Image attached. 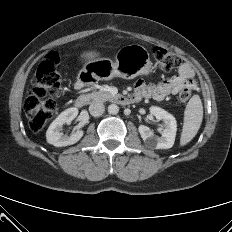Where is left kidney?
<instances>
[{"label":"left kidney","instance_id":"left-kidney-1","mask_svg":"<svg viewBox=\"0 0 232 232\" xmlns=\"http://www.w3.org/2000/svg\"><path fill=\"white\" fill-rule=\"evenodd\" d=\"M150 113L154 115L158 121L162 120L164 122V129L161 132L162 136L157 137L149 127L140 125L138 130L145 142V145L150 149L171 148L174 145L177 131V122L175 117L164 109L155 106L150 108Z\"/></svg>","mask_w":232,"mask_h":232}]
</instances>
